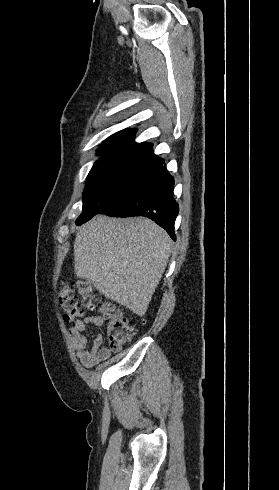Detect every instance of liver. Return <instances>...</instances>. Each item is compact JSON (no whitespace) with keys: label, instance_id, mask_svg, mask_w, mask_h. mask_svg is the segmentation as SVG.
I'll list each match as a JSON object with an SVG mask.
<instances>
[{"label":"liver","instance_id":"1","mask_svg":"<svg viewBox=\"0 0 279 490\" xmlns=\"http://www.w3.org/2000/svg\"><path fill=\"white\" fill-rule=\"evenodd\" d=\"M170 254L168 234L152 220L95 216L75 238L74 274L142 318Z\"/></svg>","mask_w":279,"mask_h":490}]
</instances>
